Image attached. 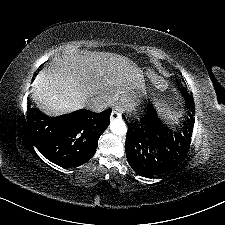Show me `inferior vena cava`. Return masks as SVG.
<instances>
[{
	"label": "inferior vena cava",
	"mask_w": 225,
	"mask_h": 225,
	"mask_svg": "<svg viewBox=\"0 0 225 225\" xmlns=\"http://www.w3.org/2000/svg\"><path fill=\"white\" fill-rule=\"evenodd\" d=\"M88 108L92 112L100 113L107 108V103L99 99H92L88 103Z\"/></svg>",
	"instance_id": "1"
}]
</instances>
